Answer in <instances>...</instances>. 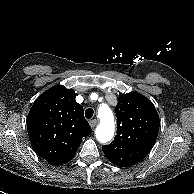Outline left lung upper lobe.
<instances>
[{
    "mask_svg": "<svg viewBox=\"0 0 194 194\" xmlns=\"http://www.w3.org/2000/svg\"><path fill=\"white\" fill-rule=\"evenodd\" d=\"M116 116L117 134L102 149L111 163L129 167L144 159L152 149L159 131V116L150 100L138 92L119 97Z\"/></svg>",
    "mask_w": 194,
    "mask_h": 194,
    "instance_id": "obj_1",
    "label": "left lung upper lobe"
}]
</instances>
